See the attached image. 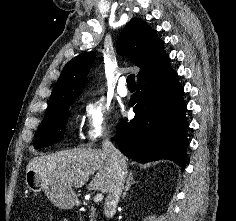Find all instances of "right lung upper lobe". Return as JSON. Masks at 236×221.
Returning a JSON list of instances; mask_svg holds the SVG:
<instances>
[{"mask_svg": "<svg viewBox=\"0 0 236 221\" xmlns=\"http://www.w3.org/2000/svg\"><path fill=\"white\" fill-rule=\"evenodd\" d=\"M117 50L136 64L138 80L156 71L168 58L161 41L146 22L133 18L123 29L117 41ZM95 53L86 52L70 60L56 82L47 111L76 99L83 91Z\"/></svg>", "mask_w": 236, "mask_h": 221, "instance_id": "1", "label": "right lung upper lobe"}]
</instances>
